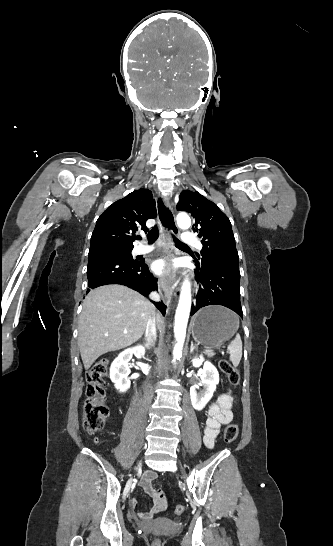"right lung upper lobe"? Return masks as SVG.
Returning a JSON list of instances; mask_svg holds the SVG:
<instances>
[{
    "label": "right lung upper lobe",
    "mask_w": 333,
    "mask_h": 546,
    "mask_svg": "<svg viewBox=\"0 0 333 546\" xmlns=\"http://www.w3.org/2000/svg\"><path fill=\"white\" fill-rule=\"evenodd\" d=\"M157 217L155 200L147 189H139L110 205L98 218L91 236L90 250L133 247L139 227Z\"/></svg>",
    "instance_id": "cb5924a9"
}]
</instances>
